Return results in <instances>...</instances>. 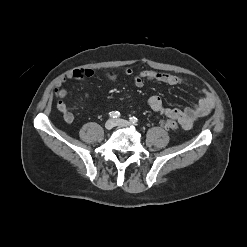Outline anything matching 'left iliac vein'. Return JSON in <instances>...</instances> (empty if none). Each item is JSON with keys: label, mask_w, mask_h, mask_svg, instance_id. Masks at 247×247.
Listing matches in <instances>:
<instances>
[{"label": "left iliac vein", "mask_w": 247, "mask_h": 247, "mask_svg": "<svg viewBox=\"0 0 247 247\" xmlns=\"http://www.w3.org/2000/svg\"><path fill=\"white\" fill-rule=\"evenodd\" d=\"M115 126L129 127V126H131V123L127 120H124V119H116L115 120Z\"/></svg>", "instance_id": "left-iliac-vein-1"}]
</instances>
